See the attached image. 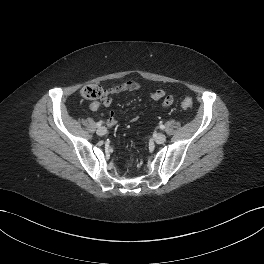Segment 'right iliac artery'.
Masks as SVG:
<instances>
[{"instance_id": "right-iliac-artery-1", "label": "right iliac artery", "mask_w": 264, "mask_h": 264, "mask_svg": "<svg viewBox=\"0 0 264 264\" xmlns=\"http://www.w3.org/2000/svg\"><path fill=\"white\" fill-rule=\"evenodd\" d=\"M96 126L100 127L101 126V122L96 123Z\"/></svg>"}]
</instances>
